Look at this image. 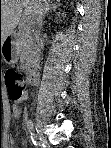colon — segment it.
Masks as SVG:
<instances>
[{"label": "colon", "instance_id": "1", "mask_svg": "<svg viewBox=\"0 0 111 148\" xmlns=\"http://www.w3.org/2000/svg\"><path fill=\"white\" fill-rule=\"evenodd\" d=\"M4 80L8 88V95L11 99L19 100L25 95L26 89L22 84V76L17 71H6Z\"/></svg>", "mask_w": 111, "mask_h": 148}]
</instances>
